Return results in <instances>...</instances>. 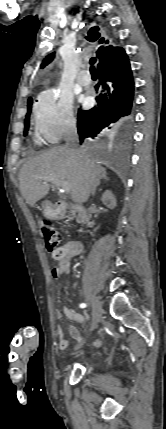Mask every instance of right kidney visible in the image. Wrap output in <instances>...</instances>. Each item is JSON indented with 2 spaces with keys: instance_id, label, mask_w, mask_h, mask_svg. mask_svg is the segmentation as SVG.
I'll use <instances>...</instances> for the list:
<instances>
[{
  "instance_id": "right-kidney-1",
  "label": "right kidney",
  "mask_w": 166,
  "mask_h": 429,
  "mask_svg": "<svg viewBox=\"0 0 166 429\" xmlns=\"http://www.w3.org/2000/svg\"><path fill=\"white\" fill-rule=\"evenodd\" d=\"M101 201L110 209H114L116 207V198L110 190H106L102 194Z\"/></svg>"
}]
</instances>
